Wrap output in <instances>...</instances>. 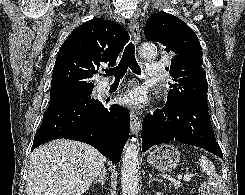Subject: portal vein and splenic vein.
Masks as SVG:
<instances>
[{"label":"portal vein and splenic vein","mask_w":245,"mask_h":195,"mask_svg":"<svg viewBox=\"0 0 245 195\" xmlns=\"http://www.w3.org/2000/svg\"><path fill=\"white\" fill-rule=\"evenodd\" d=\"M184 180V181H186V182H190L191 181V176L190 175H186V176H184L183 178L182 177H178V180H174L173 181V183H174V185H177V184H179V180Z\"/></svg>","instance_id":"1"}]
</instances>
